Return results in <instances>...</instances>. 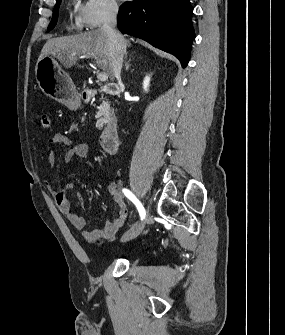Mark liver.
<instances>
[{
    "label": "liver",
    "mask_w": 285,
    "mask_h": 335,
    "mask_svg": "<svg viewBox=\"0 0 285 335\" xmlns=\"http://www.w3.org/2000/svg\"><path fill=\"white\" fill-rule=\"evenodd\" d=\"M125 44L130 48L129 40H125ZM42 56H54L66 68L74 66L78 58H87V60L94 58L95 66L106 72L111 82L114 80L110 40L101 28L76 34V36L51 38L43 46L39 60Z\"/></svg>",
    "instance_id": "obj_1"
}]
</instances>
